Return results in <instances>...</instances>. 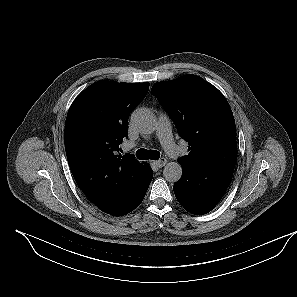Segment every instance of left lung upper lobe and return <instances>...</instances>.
Masks as SVG:
<instances>
[{"instance_id": "5c2ea615", "label": "left lung upper lobe", "mask_w": 297, "mask_h": 297, "mask_svg": "<svg viewBox=\"0 0 297 297\" xmlns=\"http://www.w3.org/2000/svg\"><path fill=\"white\" fill-rule=\"evenodd\" d=\"M152 93L189 144V154L178 159L190 177L188 195L226 191L235 168L237 142L233 113L223 94L192 74L155 83Z\"/></svg>"}]
</instances>
